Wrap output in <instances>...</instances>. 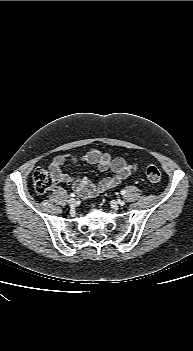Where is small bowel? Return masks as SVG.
Listing matches in <instances>:
<instances>
[{
    "label": "small bowel",
    "instance_id": "1",
    "mask_svg": "<svg viewBox=\"0 0 193 351\" xmlns=\"http://www.w3.org/2000/svg\"><path fill=\"white\" fill-rule=\"evenodd\" d=\"M68 161L95 165L102 172L110 170L112 175L97 183L88 178L74 179L62 171ZM49 169L57 183L70 185L80 196L92 198L119 186L136 170V167L123 157H112L109 153L93 149L80 157L71 153L58 155L52 160Z\"/></svg>",
    "mask_w": 193,
    "mask_h": 351
}]
</instances>
